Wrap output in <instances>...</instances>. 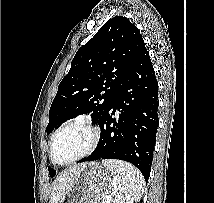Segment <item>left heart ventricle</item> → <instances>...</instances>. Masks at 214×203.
I'll return each mask as SVG.
<instances>
[{
  "instance_id": "b2bd125f",
  "label": "left heart ventricle",
  "mask_w": 214,
  "mask_h": 203,
  "mask_svg": "<svg viewBox=\"0 0 214 203\" xmlns=\"http://www.w3.org/2000/svg\"><path fill=\"white\" fill-rule=\"evenodd\" d=\"M91 132L80 126L64 130L57 138L54 157L57 162H67L84 152L91 142Z\"/></svg>"
}]
</instances>
